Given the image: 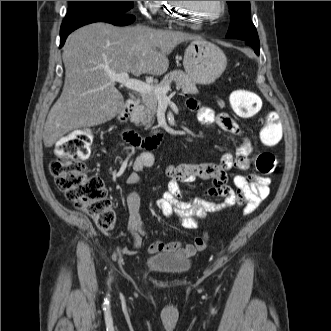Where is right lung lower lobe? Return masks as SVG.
I'll return each mask as SVG.
<instances>
[{"label": "right lung lower lobe", "instance_id": "obj_1", "mask_svg": "<svg viewBox=\"0 0 331 331\" xmlns=\"http://www.w3.org/2000/svg\"><path fill=\"white\" fill-rule=\"evenodd\" d=\"M135 17L133 15L130 14H122V15H114V16H105V17H100L82 24H79L77 26H74L72 28H70L69 30L65 31V32H60V48L64 45L65 40L67 38V36L74 31L75 29L84 26L86 24H90L93 22H107L116 26H126L131 24L132 22H134Z\"/></svg>", "mask_w": 331, "mask_h": 331}]
</instances>
